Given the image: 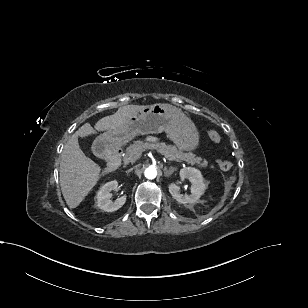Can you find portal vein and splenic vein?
<instances>
[{
	"label": "portal vein and splenic vein",
	"mask_w": 308,
	"mask_h": 308,
	"mask_svg": "<svg viewBox=\"0 0 308 308\" xmlns=\"http://www.w3.org/2000/svg\"><path fill=\"white\" fill-rule=\"evenodd\" d=\"M166 158H168L170 161H173V160H176V161H181V160H179V159H175L174 157H169V156H165Z\"/></svg>",
	"instance_id": "obj_1"
}]
</instances>
